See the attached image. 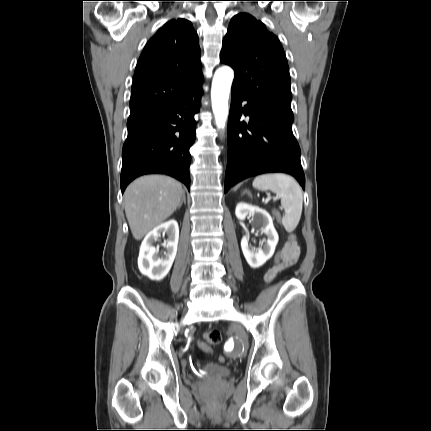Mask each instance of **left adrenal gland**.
Listing matches in <instances>:
<instances>
[{
  "mask_svg": "<svg viewBox=\"0 0 431 431\" xmlns=\"http://www.w3.org/2000/svg\"><path fill=\"white\" fill-rule=\"evenodd\" d=\"M243 194H248V195H249V193H248V191H247V190H245V191L243 192Z\"/></svg>",
  "mask_w": 431,
  "mask_h": 431,
  "instance_id": "1",
  "label": "left adrenal gland"
}]
</instances>
